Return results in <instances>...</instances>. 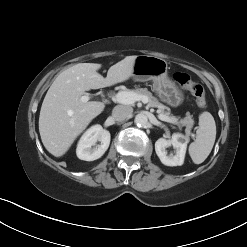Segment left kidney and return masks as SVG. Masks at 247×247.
Listing matches in <instances>:
<instances>
[{"label": "left kidney", "mask_w": 247, "mask_h": 247, "mask_svg": "<svg viewBox=\"0 0 247 247\" xmlns=\"http://www.w3.org/2000/svg\"><path fill=\"white\" fill-rule=\"evenodd\" d=\"M188 138L182 134H173L170 140L159 138L155 142V151L160 161L166 166H181L184 163ZM175 148V155H167L168 146Z\"/></svg>", "instance_id": "obj_1"}]
</instances>
